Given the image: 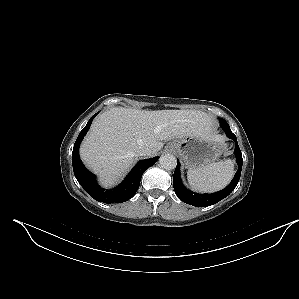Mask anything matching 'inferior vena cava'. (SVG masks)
Returning <instances> with one entry per match:
<instances>
[{
  "label": "inferior vena cava",
  "instance_id": "1",
  "mask_svg": "<svg viewBox=\"0 0 299 299\" xmlns=\"http://www.w3.org/2000/svg\"><path fill=\"white\" fill-rule=\"evenodd\" d=\"M137 154L139 156H149L151 154V150L149 148H141L138 150Z\"/></svg>",
  "mask_w": 299,
  "mask_h": 299
}]
</instances>
